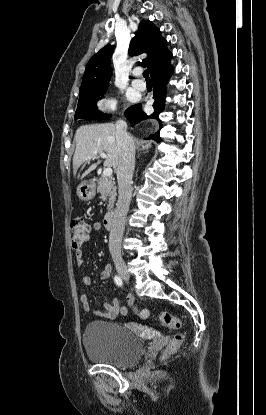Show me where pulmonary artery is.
Masks as SVG:
<instances>
[{"label": "pulmonary artery", "instance_id": "1", "mask_svg": "<svg viewBox=\"0 0 266 415\" xmlns=\"http://www.w3.org/2000/svg\"><path fill=\"white\" fill-rule=\"evenodd\" d=\"M134 74L136 76H138V75H140V71H135ZM132 85H133L134 88H136L138 90H141V91L142 90H145V88H146L145 82L143 80H141V79H134L132 81Z\"/></svg>", "mask_w": 266, "mask_h": 415}]
</instances>
